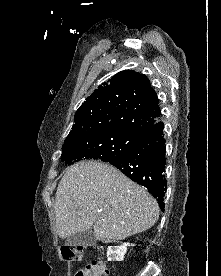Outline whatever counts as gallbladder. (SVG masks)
I'll use <instances>...</instances> for the list:
<instances>
[{
	"label": "gallbladder",
	"instance_id": "obj_1",
	"mask_svg": "<svg viewBox=\"0 0 221 276\" xmlns=\"http://www.w3.org/2000/svg\"><path fill=\"white\" fill-rule=\"evenodd\" d=\"M68 246H93L96 244V238L92 229H87L68 237L65 241Z\"/></svg>",
	"mask_w": 221,
	"mask_h": 276
}]
</instances>
